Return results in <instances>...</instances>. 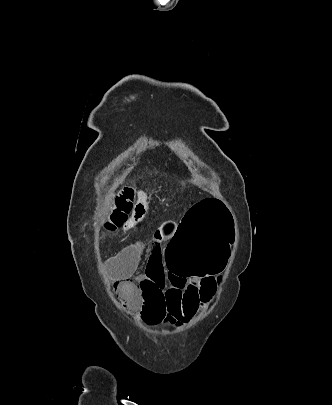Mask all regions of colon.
I'll return each instance as SVG.
<instances>
[{"label":"colon","mask_w":332,"mask_h":405,"mask_svg":"<svg viewBox=\"0 0 332 405\" xmlns=\"http://www.w3.org/2000/svg\"><path fill=\"white\" fill-rule=\"evenodd\" d=\"M133 189L126 187L117 196L115 208L106 224L109 230L135 223L131 209L137 208ZM232 211H227V202L218 197H200V202H191L184 211V220H175V234L166 248V268L171 275H218L228 268L227 257H232L231 243L235 236ZM117 294L123 304L133 310L141 309L137 285L130 280L120 281ZM138 320L139 315H138Z\"/></svg>","instance_id":"obj_1"}]
</instances>
